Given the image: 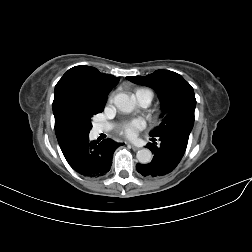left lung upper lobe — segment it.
<instances>
[{
  "mask_svg": "<svg viewBox=\"0 0 252 252\" xmlns=\"http://www.w3.org/2000/svg\"><path fill=\"white\" fill-rule=\"evenodd\" d=\"M126 78L133 83L153 88L160 97L162 123L150 133L151 137L173 130L192 131L196 99L193 88L180 74L157 70L147 76Z\"/></svg>",
  "mask_w": 252,
  "mask_h": 252,
  "instance_id": "5c2ea615",
  "label": "left lung upper lobe"
}]
</instances>
